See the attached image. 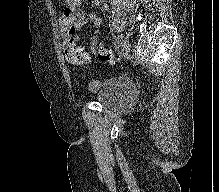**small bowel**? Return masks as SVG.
Instances as JSON below:
<instances>
[{
	"instance_id": "c3829d8e",
	"label": "small bowel",
	"mask_w": 219,
	"mask_h": 192,
	"mask_svg": "<svg viewBox=\"0 0 219 192\" xmlns=\"http://www.w3.org/2000/svg\"><path fill=\"white\" fill-rule=\"evenodd\" d=\"M85 0H64L65 11L59 17L58 23L61 28V35L64 39L70 32L75 43L80 39L78 32L87 22H92L98 32V28L101 24V18L98 14L86 15L82 10V4ZM94 6L98 9L99 13H105L108 10V4L106 0H93ZM97 42L95 37L92 41V45ZM83 51L82 47H78Z\"/></svg>"
}]
</instances>
